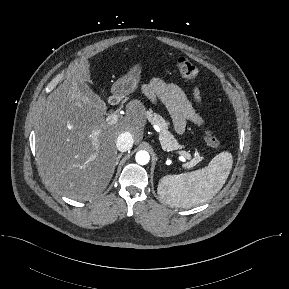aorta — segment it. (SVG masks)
<instances>
[{
	"label": "aorta",
	"instance_id": "obj_1",
	"mask_svg": "<svg viewBox=\"0 0 289 289\" xmlns=\"http://www.w3.org/2000/svg\"><path fill=\"white\" fill-rule=\"evenodd\" d=\"M135 159L138 164L146 165L150 160V156L147 151L141 150L136 153Z\"/></svg>",
	"mask_w": 289,
	"mask_h": 289
}]
</instances>
